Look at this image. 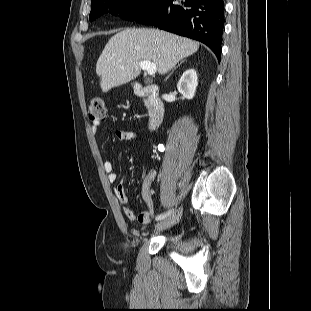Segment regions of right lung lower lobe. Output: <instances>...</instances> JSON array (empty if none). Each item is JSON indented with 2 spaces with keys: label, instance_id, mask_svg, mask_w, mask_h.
Returning a JSON list of instances; mask_svg holds the SVG:
<instances>
[{
  "label": "right lung lower lobe",
  "instance_id": "98d812e1",
  "mask_svg": "<svg viewBox=\"0 0 311 311\" xmlns=\"http://www.w3.org/2000/svg\"><path fill=\"white\" fill-rule=\"evenodd\" d=\"M206 44L221 57L224 28L223 0H160L144 15L134 19Z\"/></svg>",
  "mask_w": 311,
  "mask_h": 311
}]
</instances>
